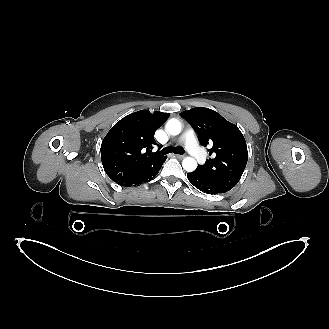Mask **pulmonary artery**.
<instances>
[{"label": "pulmonary artery", "mask_w": 329, "mask_h": 329, "mask_svg": "<svg viewBox=\"0 0 329 329\" xmlns=\"http://www.w3.org/2000/svg\"><path fill=\"white\" fill-rule=\"evenodd\" d=\"M181 141L185 143L188 152L198 161L203 164L206 160V154L197 143L195 133L192 129L186 130L181 136Z\"/></svg>", "instance_id": "1"}]
</instances>
